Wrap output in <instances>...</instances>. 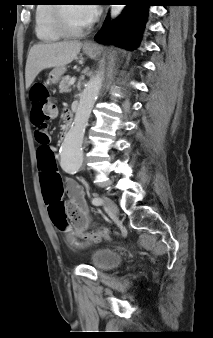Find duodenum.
<instances>
[{"label":"duodenum","instance_id":"duodenum-1","mask_svg":"<svg viewBox=\"0 0 213 338\" xmlns=\"http://www.w3.org/2000/svg\"><path fill=\"white\" fill-rule=\"evenodd\" d=\"M72 123H73V113L69 112L66 118V122L64 123L63 128H62V132H61L62 138L67 137L69 130L72 126Z\"/></svg>","mask_w":213,"mask_h":338}]
</instances>
